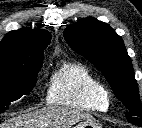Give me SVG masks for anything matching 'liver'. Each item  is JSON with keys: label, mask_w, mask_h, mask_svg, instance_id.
<instances>
[{"label": "liver", "mask_w": 142, "mask_h": 128, "mask_svg": "<svg viewBox=\"0 0 142 128\" xmlns=\"http://www.w3.org/2000/svg\"><path fill=\"white\" fill-rule=\"evenodd\" d=\"M88 118L92 117L83 111L48 107L10 118L1 123L0 128H70Z\"/></svg>", "instance_id": "1"}]
</instances>
